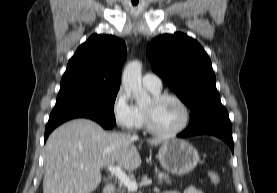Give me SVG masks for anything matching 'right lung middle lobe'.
Wrapping results in <instances>:
<instances>
[{"label": "right lung middle lobe", "mask_w": 277, "mask_h": 193, "mask_svg": "<svg viewBox=\"0 0 277 193\" xmlns=\"http://www.w3.org/2000/svg\"><path fill=\"white\" fill-rule=\"evenodd\" d=\"M118 89L81 86L60 90L54 109H74L94 113L116 123L114 102Z\"/></svg>", "instance_id": "dd1d6c3e"}]
</instances>
